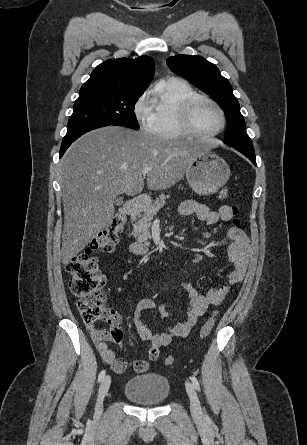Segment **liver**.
<instances>
[{
	"label": "liver",
	"mask_w": 307,
	"mask_h": 445,
	"mask_svg": "<svg viewBox=\"0 0 307 445\" xmlns=\"http://www.w3.org/2000/svg\"><path fill=\"white\" fill-rule=\"evenodd\" d=\"M202 148L196 140L159 138L146 130L103 126L80 136L62 158L63 265L77 257L113 218L117 194H139L179 182Z\"/></svg>",
	"instance_id": "liver-1"
}]
</instances>
